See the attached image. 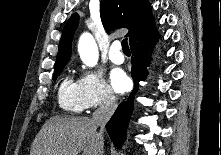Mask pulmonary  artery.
Segmentation results:
<instances>
[{
	"mask_svg": "<svg viewBox=\"0 0 221 155\" xmlns=\"http://www.w3.org/2000/svg\"><path fill=\"white\" fill-rule=\"evenodd\" d=\"M109 59L115 64H122L125 60L121 52V44L118 41L113 42L109 50Z\"/></svg>",
	"mask_w": 221,
	"mask_h": 155,
	"instance_id": "1",
	"label": "pulmonary artery"
}]
</instances>
